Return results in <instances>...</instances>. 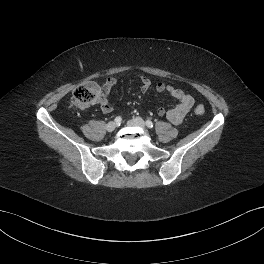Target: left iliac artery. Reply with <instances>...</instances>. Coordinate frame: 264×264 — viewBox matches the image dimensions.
I'll use <instances>...</instances> for the list:
<instances>
[{"mask_svg": "<svg viewBox=\"0 0 264 264\" xmlns=\"http://www.w3.org/2000/svg\"><path fill=\"white\" fill-rule=\"evenodd\" d=\"M146 126H147L148 128H153V122L150 121V120H146Z\"/></svg>", "mask_w": 264, "mask_h": 264, "instance_id": "1", "label": "left iliac artery"}]
</instances>
